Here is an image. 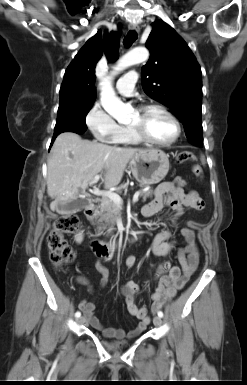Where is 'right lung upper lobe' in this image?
I'll return each instance as SVG.
<instances>
[{"mask_svg": "<svg viewBox=\"0 0 247 385\" xmlns=\"http://www.w3.org/2000/svg\"><path fill=\"white\" fill-rule=\"evenodd\" d=\"M103 52L112 61L118 58V33H105L102 38L101 31H98L86 42L65 72L60 88V98L95 99V66Z\"/></svg>", "mask_w": 247, "mask_h": 385, "instance_id": "cb5924a9", "label": "right lung upper lobe"}]
</instances>
